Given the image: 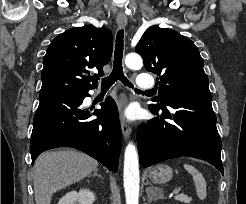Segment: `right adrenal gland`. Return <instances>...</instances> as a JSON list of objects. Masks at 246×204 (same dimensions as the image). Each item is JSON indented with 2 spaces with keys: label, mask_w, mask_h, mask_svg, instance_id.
Instances as JSON below:
<instances>
[{
  "label": "right adrenal gland",
  "mask_w": 246,
  "mask_h": 204,
  "mask_svg": "<svg viewBox=\"0 0 246 204\" xmlns=\"http://www.w3.org/2000/svg\"><path fill=\"white\" fill-rule=\"evenodd\" d=\"M91 176H98V177H100L102 179V176L98 173V169L97 168L94 170V173L91 174Z\"/></svg>",
  "instance_id": "1"
}]
</instances>
